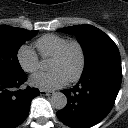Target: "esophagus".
<instances>
[{
  "mask_svg": "<svg viewBox=\"0 0 128 128\" xmlns=\"http://www.w3.org/2000/svg\"><path fill=\"white\" fill-rule=\"evenodd\" d=\"M51 94H52L51 91L40 90V95L42 96H50Z\"/></svg>",
  "mask_w": 128,
  "mask_h": 128,
  "instance_id": "obj_1",
  "label": "esophagus"
}]
</instances>
